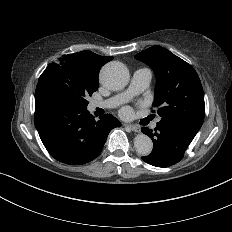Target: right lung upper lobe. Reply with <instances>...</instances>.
<instances>
[{
    "label": "right lung upper lobe",
    "instance_id": "1",
    "mask_svg": "<svg viewBox=\"0 0 232 232\" xmlns=\"http://www.w3.org/2000/svg\"><path fill=\"white\" fill-rule=\"evenodd\" d=\"M112 59V56H100L85 50L75 54L63 55L56 64L77 72L84 77L98 79L100 68Z\"/></svg>",
    "mask_w": 232,
    "mask_h": 232
}]
</instances>
